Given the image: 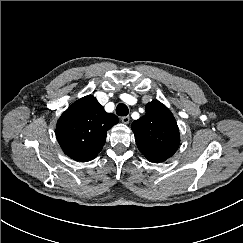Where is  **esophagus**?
<instances>
[{
    "label": "esophagus",
    "mask_w": 243,
    "mask_h": 243,
    "mask_svg": "<svg viewBox=\"0 0 243 243\" xmlns=\"http://www.w3.org/2000/svg\"><path fill=\"white\" fill-rule=\"evenodd\" d=\"M121 120H122V122H123L124 124H128V123L130 122V117H129V116H123V117L121 118Z\"/></svg>",
    "instance_id": "34e87169"
}]
</instances>
